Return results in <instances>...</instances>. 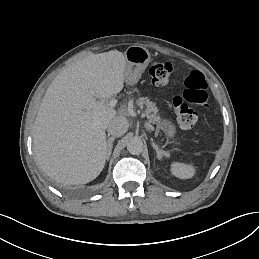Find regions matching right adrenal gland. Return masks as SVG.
Wrapping results in <instances>:
<instances>
[{
    "label": "right adrenal gland",
    "mask_w": 259,
    "mask_h": 259,
    "mask_svg": "<svg viewBox=\"0 0 259 259\" xmlns=\"http://www.w3.org/2000/svg\"><path fill=\"white\" fill-rule=\"evenodd\" d=\"M114 139H115L114 137H108V140H107L108 153H111Z\"/></svg>",
    "instance_id": "right-adrenal-gland-1"
}]
</instances>
